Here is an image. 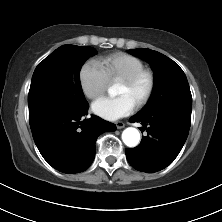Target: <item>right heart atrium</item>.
I'll list each match as a JSON object with an SVG mask.
<instances>
[{
    "instance_id": "1",
    "label": "right heart atrium",
    "mask_w": 222,
    "mask_h": 222,
    "mask_svg": "<svg viewBox=\"0 0 222 222\" xmlns=\"http://www.w3.org/2000/svg\"><path fill=\"white\" fill-rule=\"evenodd\" d=\"M79 83L83 94L94 100L106 91L109 79L97 61L89 60L79 71Z\"/></svg>"
}]
</instances>
